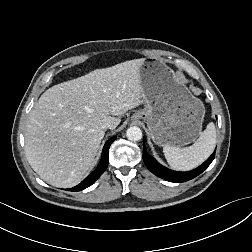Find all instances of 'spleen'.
Here are the masks:
<instances>
[{
	"instance_id": "1",
	"label": "spleen",
	"mask_w": 252,
	"mask_h": 252,
	"mask_svg": "<svg viewBox=\"0 0 252 252\" xmlns=\"http://www.w3.org/2000/svg\"><path fill=\"white\" fill-rule=\"evenodd\" d=\"M216 137L215 125L211 122L193 145L184 148L165 145L163 153L173 169L191 170L203 163L213 153Z\"/></svg>"
}]
</instances>
